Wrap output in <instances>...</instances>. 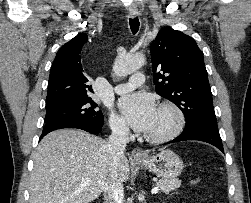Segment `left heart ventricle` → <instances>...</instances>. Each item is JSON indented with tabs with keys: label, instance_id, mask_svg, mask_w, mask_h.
Segmentation results:
<instances>
[{
	"label": "left heart ventricle",
	"instance_id": "obj_1",
	"mask_svg": "<svg viewBox=\"0 0 251 203\" xmlns=\"http://www.w3.org/2000/svg\"><path fill=\"white\" fill-rule=\"evenodd\" d=\"M174 125V116L170 111L157 109L156 116L146 134L160 135L168 132Z\"/></svg>",
	"mask_w": 251,
	"mask_h": 203
}]
</instances>
